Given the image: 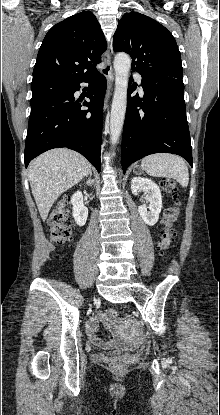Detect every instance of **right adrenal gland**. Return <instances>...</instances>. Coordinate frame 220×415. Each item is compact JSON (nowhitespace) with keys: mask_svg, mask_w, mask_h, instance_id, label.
Wrapping results in <instances>:
<instances>
[{"mask_svg":"<svg viewBox=\"0 0 220 415\" xmlns=\"http://www.w3.org/2000/svg\"><path fill=\"white\" fill-rule=\"evenodd\" d=\"M89 176H90V178H91V176H92V172L90 171V173H89Z\"/></svg>","mask_w":220,"mask_h":415,"instance_id":"right-adrenal-gland-1","label":"right adrenal gland"}]
</instances>
